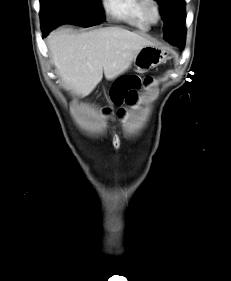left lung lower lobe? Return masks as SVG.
<instances>
[{
    "mask_svg": "<svg viewBox=\"0 0 231 281\" xmlns=\"http://www.w3.org/2000/svg\"><path fill=\"white\" fill-rule=\"evenodd\" d=\"M169 42L179 45L182 50L185 45V32H182V31L172 32L169 35Z\"/></svg>",
    "mask_w": 231,
    "mask_h": 281,
    "instance_id": "0a47b994",
    "label": "left lung lower lobe"
}]
</instances>
